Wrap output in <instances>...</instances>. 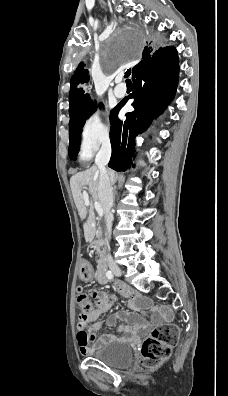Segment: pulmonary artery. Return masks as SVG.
Listing matches in <instances>:
<instances>
[{
    "instance_id": "1",
    "label": "pulmonary artery",
    "mask_w": 228,
    "mask_h": 396,
    "mask_svg": "<svg viewBox=\"0 0 228 396\" xmlns=\"http://www.w3.org/2000/svg\"><path fill=\"white\" fill-rule=\"evenodd\" d=\"M119 83V81H118ZM126 89L122 84H118L117 87L114 90V94L116 97L121 98L125 95Z\"/></svg>"
}]
</instances>
